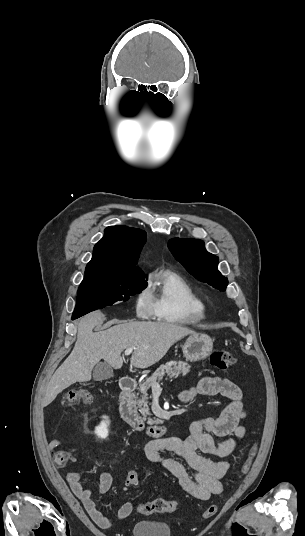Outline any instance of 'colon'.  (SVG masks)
<instances>
[{
    "label": "colon",
    "mask_w": 305,
    "mask_h": 536,
    "mask_svg": "<svg viewBox=\"0 0 305 536\" xmlns=\"http://www.w3.org/2000/svg\"><path fill=\"white\" fill-rule=\"evenodd\" d=\"M210 361L219 370H226L230 368L235 363V358L229 352L223 351L221 349H216L210 355ZM92 401L91 394L86 390H70L68 391L63 398V402L66 406H72L78 402L90 403ZM253 456V451L248 456L245 464L242 467L241 474H244L251 463ZM54 460L57 463H63L66 461L67 454L63 449H59L55 452L53 456ZM66 469L72 468L71 462L65 463ZM139 471L136 468L131 469L130 474L126 477V483L128 486L133 487L136 485ZM177 503L172 500L165 498H155L153 500L142 502L137 505V510L142 514H169L176 510ZM218 511V507L215 504L210 505L203 513V518L207 519L214 516Z\"/></svg>",
    "instance_id": "obj_1"
}]
</instances>
